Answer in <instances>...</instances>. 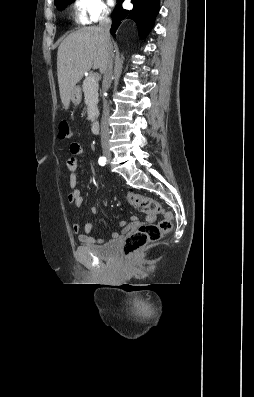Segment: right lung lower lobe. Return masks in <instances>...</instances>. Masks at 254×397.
Wrapping results in <instances>:
<instances>
[{
  "label": "right lung lower lobe",
  "mask_w": 254,
  "mask_h": 397,
  "mask_svg": "<svg viewBox=\"0 0 254 397\" xmlns=\"http://www.w3.org/2000/svg\"><path fill=\"white\" fill-rule=\"evenodd\" d=\"M132 10H124L122 0L115 7L112 14L111 34L115 37L116 30L122 23L130 22L138 29V34L146 36L152 29L156 15L159 12L160 0H131Z\"/></svg>",
  "instance_id": "98d812e1"
}]
</instances>
